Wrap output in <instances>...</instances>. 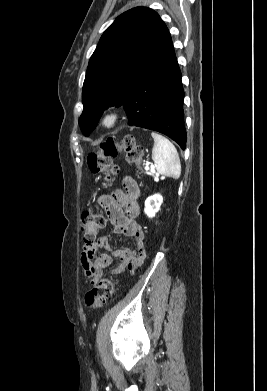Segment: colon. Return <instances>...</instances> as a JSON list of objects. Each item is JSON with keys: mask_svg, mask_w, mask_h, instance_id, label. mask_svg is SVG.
Masks as SVG:
<instances>
[{"mask_svg": "<svg viewBox=\"0 0 267 391\" xmlns=\"http://www.w3.org/2000/svg\"><path fill=\"white\" fill-rule=\"evenodd\" d=\"M119 151H123L129 163L140 166L143 149L136 143L132 135H126L122 142L117 144L108 138L101 144L98 152H92L87 157V164L92 173L104 174L105 182L109 183L118 171L113 159ZM103 213L88 210L82 214L81 229L83 232L84 248L92 246L103 228L105 227ZM114 291V283L111 279H101L85 296V303L89 308H100L108 303Z\"/></svg>", "mask_w": 267, "mask_h": 391, "instance_id": "1", "label": "colon"}]
</instances>
